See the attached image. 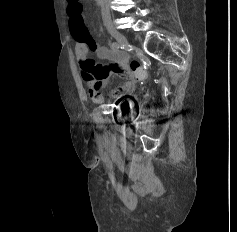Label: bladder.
Listing matches in <instances>:
<instances>
[{
  "label": "bladder",
  "instance_id": "obj_1",
  "mask_svg": "<svg viewBox=\"0 0 237 232\" xmlns=\"http://www.w3.org/2000/svg\"><path fill=\"white\" fill-rule=\"evenodd\" d=\"M123 104H126V105H127V104H128V102H124Z\"/></svg>",
  "mask_w": 237,
  "mask_h": 232
}]
</instances>
